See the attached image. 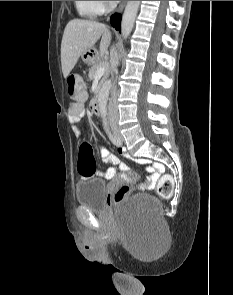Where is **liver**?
Instances as JSON below:
<instances>
[{
	"instance_id": "obj_1",
	"label": "liver",
	"mask_w": 233,
	"mask_h": 295,
	"mask_svg": "<svg viewBox=\"0 0 233 295\" xmlns=\"http://www.w3.org/2000/svg\"><path fill=\"white\" fill-rule=\"evenodd\" d=\"M102 36L98 57H103L111 41V32L105 24L82 19H73L65 27L61 42V64L67 78L79 57Z\"/></svg>"
}]
</instances>
